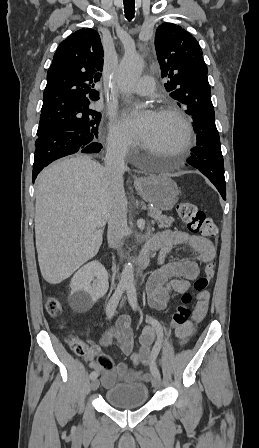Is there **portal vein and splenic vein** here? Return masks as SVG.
<instances>
[{
  "label": "portal vein and splenic vein",
  "instance_id": "18ae733b",
  "mask_svg": "<svg viewBox=\"0 0 259 448\" xmlns=\"http://www.w3.org/2000/svg\"><path fill=\"white\" fill-rule=\"evenodd\" d=\"M96 234H101V230H100V232H96Z\"/></svg>",
  "mask_w": 259,
  "mask_h": 448
}]
</instances>
